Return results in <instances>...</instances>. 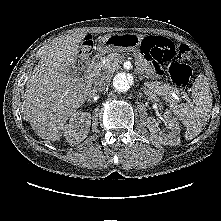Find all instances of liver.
Masks as SVG:
<instances>
[{"label":"liver","instance_id":"liver-1","mask_svg":"<svg viewBox=\"0 0 221 221\" xmlns=\"http://www.w3.org/2000/svg\"><path fill=\"white\" fill-rule=\"evenodd\" d=\"M85 32L52 41L26 82L21 112L43 139L58 140L65 123L91 93L92 82L76 67Z\"/></svg>","mask_w":221,"mask_h":221}]
</instances>
